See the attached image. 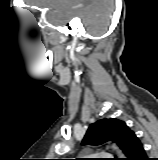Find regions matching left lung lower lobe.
<instances>
[{
  "label": "left lung lower lobe",
  "instance_id": "left-lung-lower-lobe-1",
  "mask_svg": "<svg viewBox=\"0 0 158 160\" xmlns=\"http://www.w3.org/2000/svg\"><path fill=\"white\" fill-rule=\"evenodd\" d=\"M124 153L126 158H119L117 160H149V158L146 157L141 141L134 132L127 141Z\"/></svg>",
  "mask_w": 158,
  "mask_h": 160
}]
</instances>
